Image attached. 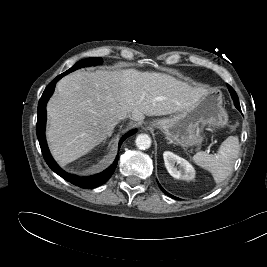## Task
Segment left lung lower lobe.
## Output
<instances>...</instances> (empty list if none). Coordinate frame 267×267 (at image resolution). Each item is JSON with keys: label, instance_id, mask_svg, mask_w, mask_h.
<instances>
[{"label": "left lung lower lobe", "instance_id": "obj_1", "mask_svg": "<svg viewBox=\"0 0 267 267\" xmlns=\"http://www.w3.org/2000/svg\"><path fill=\"white\" fill-rule=\"evenodd\" d=\"M228 88H229V91H230V93H231L232 99L234 100V104H235L236 108H237L239 111H241L240 104H239V101H238V96H237L236 92H235L234 89H233L231 86H229V85H228ZM158 184H159V183H158ZM159 187H160L161 190H162L165 194H167L168 196H170V197H172V198H174V199H179V198H176V197L172 196L171 194L167 193V192L161 187L160 184H159Z\"/></svg>", "mask_w": 267, "mask_h": 267}]
</instances>
